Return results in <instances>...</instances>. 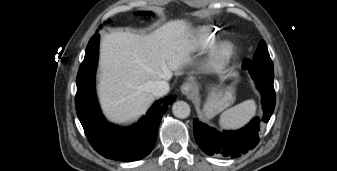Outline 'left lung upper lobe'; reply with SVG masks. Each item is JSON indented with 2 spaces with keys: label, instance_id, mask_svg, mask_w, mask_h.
Segmentation results:
<instances>
[{
  "label": "left lung upper lobe",
  "instance_id": "left-lung-upper-lobe-1",
  "mask_svg": "<svg viewBox=\"0 0 337 171\" xmlns=\"http://www.w3.org/2000/svg\"><path fill=\"white\" fill-rule=\"evenodd\" d=\"M242 66L245 69H258L273 73V63L270 59L266 44L263 40L260 41L258 48L254 54L253 60L246 59Z\"/></svg>",
  "mask_w": 337,
  "mask_h": 171
}]
</instances>
